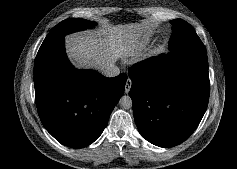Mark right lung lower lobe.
Here are the masks:
<instances>
[{
  "label": "right lung lower lobe",
  "mask_w": 237,
  "mask_h": 169,
  "mask_svg": "<svg viewBox=\"0 0 237 169\" xmlns=\"http://www.w3.org/2000/svg\"><path fill=\"white\" fill-rule=\"evenodd\" d=\"M126 80L124 73L106 78L94 70H78L67 59L64 37L44 40L34 65L42 124L63 145L88 146L106 127Z\"/></svg>",
  "instance_id": "obj_1"
}]
</instances>
